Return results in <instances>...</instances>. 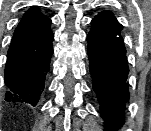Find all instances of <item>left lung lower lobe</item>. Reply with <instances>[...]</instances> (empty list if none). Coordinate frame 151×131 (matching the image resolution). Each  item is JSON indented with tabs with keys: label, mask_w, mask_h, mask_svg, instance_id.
I'll list each match as a JSON object with an SVG mask.
<instances>
[{
	"label": "left lung lower lobe",
	"mask_w": 151,
	"mask_h": 131,
	"mask_svg": "<svg viewBox=\"0 0 151 131\" xmlns=\"http://www.w3.org/2000/svg\"><path fill=\"white\" fill-rule=\"evenodd\" d=\"M88 34L89 69L93 79L106 131H117L124 120L129 68L120 34L122 25L110 11L99 13Z\"/></svg>",
	"instance_id": "left-lung-lower-lobe-1"
}]
</instances>
